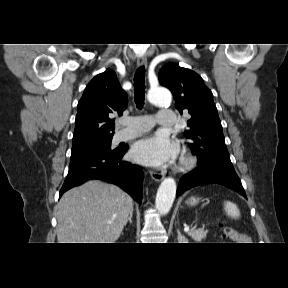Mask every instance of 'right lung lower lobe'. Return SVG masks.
Here are the masks:
<instances>
[{
	"label": "right lung lower lobe",
	"mask_w": 288,
	"mask_h": 288,
	"mask_svg": "<svg viewBox=\"0 0 288 288\" xmlns=\"http://www.w3.org/2000/svg\"><path fill=\"white\" fill-rule=\"evenodd\" d=\"M127 149L128 147H120L70 162L59 196L87 180L101 179L121 187L141 204L143 170L135 164L121 160Z\"/></svg>",
	"instance_id": "98d812e1"
}]
</instances>
